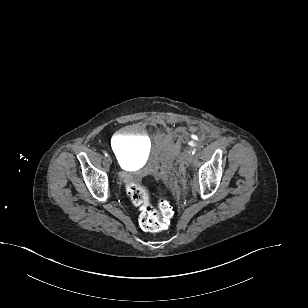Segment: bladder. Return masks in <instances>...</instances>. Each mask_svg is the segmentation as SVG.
Masks as SVG:
<instances>
[{"instance_id":"1","label":"bladder","mask_w":308,"mask_h":308,"mask_svg":"<svg viewBox=\"0 0 308 308\" xmlns=\"http://www.w3.org/2000/svg\"><path fill=\"white\" fill-rule=\"evenodd\" d=\"M111 149L124 169L146 161L150 154L151 142L142 127L133 124L123 127L113 136Z\"/></svg>"}]
</instances>
